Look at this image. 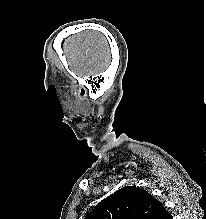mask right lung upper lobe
<instances>
[{
    "instance_id": "1",
    "label": "right lung upper lobe",
    "mask_w": 206,
    "mask_h": 219,
    "mask_svg": "<svg viewBox=\"0 0 206 219\" xmlns=\"http://www.w3.org/2000/svg\"><path fill=\"white\" fill-rule=\"evenodd\" d=\"M84 219H172L146 190L126 186L102 200Z\"/></svg>"
}]
</instances>
